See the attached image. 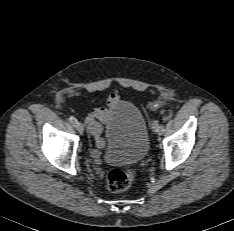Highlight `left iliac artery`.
I'll return each mask as SVG.
<instances>
[{
	"instance_id": "left-iliac-artery-1",
	"label": "left iliac artery",
	"mask_w": 234,
	"mask_h": 231,
	"mask_svg": "<svg viewBox=\"0 0 234 231\" xmlns=\"http://www.w3.org/2000/svg\"><path fill=\"white\" fill-rule=\"evenodd\" d=\"M158 132L160 134H162L164 132V125L163 124H160L159 127H158Z\"/></svg>"
}]
</instances>
